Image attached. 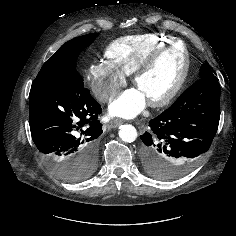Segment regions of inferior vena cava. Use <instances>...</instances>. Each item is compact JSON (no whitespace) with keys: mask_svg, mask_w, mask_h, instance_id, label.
I'll return each instance as SVG.
<instances>
[{"mask_svg":"<svg viewBox=\"0 0 236 236\" xmlns=\"http://www.w3.org/2000/svg\"><path fill=\"white\" fill-rule=\"evenodd\" d=\"M111 94L106 93L102 96V100L107 101L110 98Z\"/></svg>","mask_w":236,"mask_h":236,"instance_id":"1","label":"inferior vena cava"}]
</instances>
